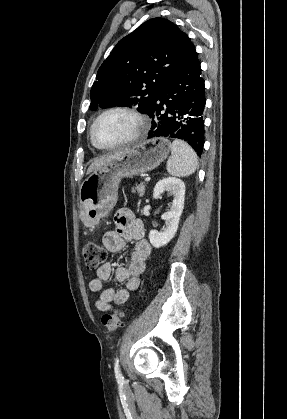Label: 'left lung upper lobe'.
Masks as SVG:
<instances>
[{"instance_id": "5c2ea615", "label": "left lung upper lobe", "mask_w": 287, "mask_h": 419, "mask_svg": "<svg viewBox=\"0 0 287 419\" xmlns=\"http://www.w3.org/2000/svg\"><path fill=\"white\" fill-rule=\"evenodd\" d=\"M196 59L189 37L174 23L150 19L120 40L100 66L90 109L138 106L148 114L161 87Z\"/></svg>"}]
</instances>
